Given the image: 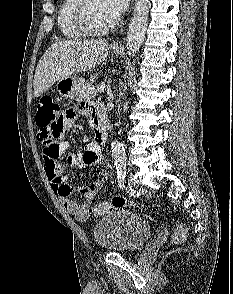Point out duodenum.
I'll list each match as a JSON object with an SVG mask.
<instances>
[{"label":"duodenum","instance_id":"1","mask_svg":"<svg viewBox=\"0 0 233 294\" xmlns=\"http://www.w3.org/2000/svg\"><path fill=\"white\" fill-rule=\"evenodd\" d=\"M94 119L96 138L98 141L104 142L108 136L109 122L106 111L102 106L96 105L94 109Z\"/></svg>","mask_w":233,"mask_h":294}]
</instances>
